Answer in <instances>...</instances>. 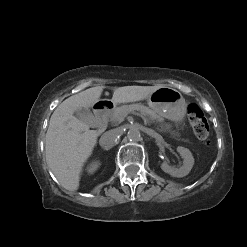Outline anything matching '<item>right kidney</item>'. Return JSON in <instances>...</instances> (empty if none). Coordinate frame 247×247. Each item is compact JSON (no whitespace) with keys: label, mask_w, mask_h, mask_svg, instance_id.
Listing matches in <instances>:
<instances>
[{"label":"right kidney","mask_w":247,"mask_h":247,"mask_svg":"<svg viewBox=\"0 0 247 247\" xmlns=\"http://www.w3.org/2000/svg\"><path fill=\"white\" fill-rule=\"evenodd\" d=\"M100 166V162L99 161H93L92 163H90L87 167V172L89 174H93L98 167Z\"/></svg>","instance_id":"1"}]
</instances>
